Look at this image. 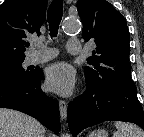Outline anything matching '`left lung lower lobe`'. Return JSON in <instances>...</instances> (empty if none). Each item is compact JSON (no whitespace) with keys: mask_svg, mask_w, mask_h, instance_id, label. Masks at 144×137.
<instances>
[{"mask_svg":"<svg viewBox=\"0 0 144 137\" xmlns=\"http://www.w3.org/2000/svg\"><path fill=\"white\" fill-rule=\"evenodd\" d=\"M67 117L74 136L83 129L104 121L132 122L144 130V112L136 88L87 87L83 95L70 102Z\"/></svg>","mask_w":144,"mask_h":137,"instance_id":"1","label":"left lung lower lobe"}]
</instances>
